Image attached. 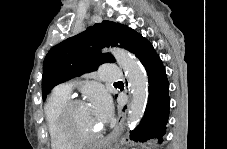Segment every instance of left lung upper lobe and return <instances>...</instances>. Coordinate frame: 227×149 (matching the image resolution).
Returning <instances> with one entry per match:
<instances>
[{
	"mask_svg": "<svg viewBox=\"0 0 227 149\" xmlns=\"http://www.w3.org/2000/svg\"><path fill=\"white\" fill-rule=\"evenodd\" d=\"M132 32L133 30L125 25L104 20L54 46L43 63V100L56 85L95 71L102 63L114 62L115 59L110 53L101 54L99 50L109 46L127 49Z\"/></svg>",
	"mask_w": 227,
	"mask_h": 149,
	"instance_id": "obj_1",
	"label": "left lung upper lobe"
}]
</instances>
